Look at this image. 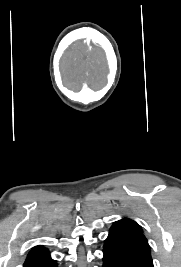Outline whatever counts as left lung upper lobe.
<instances>
[{
	"label": "left lung upper lobe",
	"instance_id": "left-lung-upper-lobe-1",
	"mask_svg": "<svg viewBox=\"0 0 181 267\" xmlns=\"http://www.w3.org/2000/svg\"><path fill=\"white\" fill-rule=\"evenodd\" d=\"M119 221L130 223L131 225H133V226L137 227L138 229L142 230L141 227L136 222H134L132 220L122 219V220H119Z\"/></svg>",
	"mask_w": 181,
	"mask_h": 267
}]
</instances>
